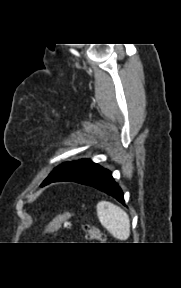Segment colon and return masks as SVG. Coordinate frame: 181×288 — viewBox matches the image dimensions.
<instances>
[{
	"mask_svg": "<svg viewBox=\"0 0 181 288\" xmlns=\"http://www.w3.org/2000/svg\"><path fill=\"white\" fill-rule=\"evenodd\" d=\"M74 218V214L70 211L62 212L56 215L44 228L45 233H51L59 229H69L71 227V221ZM83 228L87 233L89 240L103 242L105 240L104 234L96 226L90 223H84Z\"/></svg>",
	"mask_w": 181,
	"mask_h": 288,
	"instance_id": "obj_1",
	"label": "colon"
}]
</instances>
